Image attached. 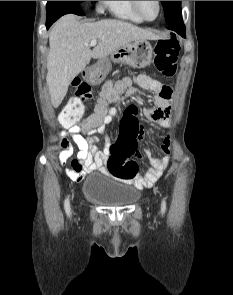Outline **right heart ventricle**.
Returning a JSON list of instances; mask_svg holds the SVG:
<instances>
[{
    "instance_id": "e07e8e85",
    "label": "right heart ventricle",
    "mask_w": 233,
    "mask_h": 295,
    "mask_svg": "<svg viewBox=\"0 0 233 295\" xmlns=\"http://www.w3.org/2000/svg\"><path fill=\"white\" fill-rule=\"evenodd\" d=\"M105 6L116 18L141 23L143 20L135 13L131 1H105Z\"/></svg>"
}]
</instances>
